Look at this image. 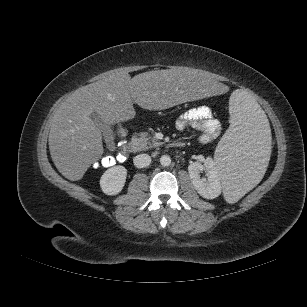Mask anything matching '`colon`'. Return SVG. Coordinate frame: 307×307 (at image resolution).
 Masks as SVG:
<instances>
[{
	"label": "colon",
	"instance_id": "colon-1",
	"mask_svg": "<svg viewBox=\"0 0 307 307\" xmlns=\"http://www.w3.org/2000/svg\"><path fill=\"white\" fill-rule=\"evenodd\" d=\"M117 133L120 137L119 142L117 143L115 150L112 153H108L100 158L96 163L95 166H104L110 167L114 166L119 162H122L126 159L127 151V131L122 126L117 128Z\"/></svg>",
	"mask_w": 307,
	"mask_h": 307
}]
</instances>
